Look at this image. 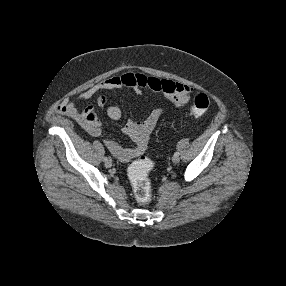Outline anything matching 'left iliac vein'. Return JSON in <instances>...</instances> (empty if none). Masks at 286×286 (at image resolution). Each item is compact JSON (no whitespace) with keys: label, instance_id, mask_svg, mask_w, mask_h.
I'll use <instances>...</instances> for the list:
<instances>
[{"label":"left iliac vein","instance_id":"1","mask_svg":"<svg viewBox=\"0 0 286 286\" xmlns=\"http://www.w3.org/2000/svg\"><path fill=\"white\" fill-rule=\"evenodd\" d=\"M172 161H173L174 163H178V162L180 161L179 156L174 155V156L172 157Z\"/></svg>","mask_w":286,"mask_h":286}]
</instances>
